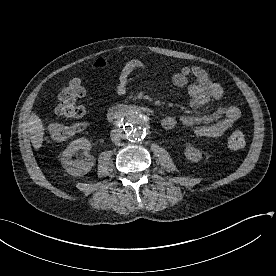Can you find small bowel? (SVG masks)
Returning a JSON list of instances; mask_svg holds the SVG:
<instances>
[{
    "mask_svg": "<svg viewBox=\"0 0 276 276\" xmlns=\"http://www.w3.org/2000/svg\"><path fill=\"white\" fill-rule=\"evenodd\" d=\"M104 59L99 58L93 63L94 69L105 66ZM146 68L145 63L139 58L130 59L118 75L114 95L122 96L126 93L129 83L136 69ZM193 78V81H190ZM172 82L179 88H186L190 96V106L200 110L210 101L220 102L223 98V88L211 79L209 74L198 66H182L172 76ZM241 117V111L233 105L220 104L210 114L184 115L180 118L167 116L162 120L165 129H173L182 124L194 129L196 135L201 137H220L227 132Z\"/></svg>",
    "mask_w": 276,
    "mask_h": 276,
    "instance_id": "small-bowel-1",
    "label": "small bowel"
}]
</instances>
